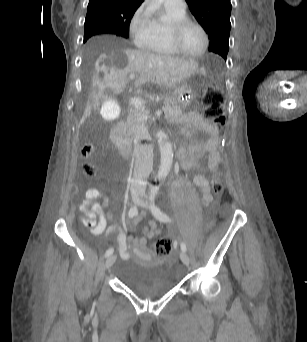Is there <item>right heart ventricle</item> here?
Returning a JSON list of instances; mask_svg holds the SVG:
<instances>
[{
  "mask_svg": "<svg viewBox=\"0 0 307 342\" xmlns=\"http://www.w3.org/2000/svg\"><path fill=\"white\" fill-rule=\"evenodd\" d=\"M185 16H187L186 11L182 13L168 11V17L157 22V34L148 41L136 45L139 51H145L169 57H180L181 55L173 48V46L169 42L167 27L168 23L171 20L180 19Z\"/></svg>",
  "mask_w": 307,
  "mask_h": 342,
  "instance_id": "1",
  "label": "right heart ventricle"
}]
</instances>
